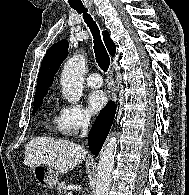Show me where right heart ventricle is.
<instances>
[{"instance_id":"obj_1","label":"right heart ventricle","mask_w":189,"mask_h":195,"mask_svg":"<svg viewBox=\"0 0 189 195\" xmlns=\"http://www.w3.org/2000/svg\"><path fill=\"white\" fill-rule=\"evenodd\" d=\"M54 112H55L54 108H52L51 111L49 112L47 123H46L48 130H51L53 125L57 124L58 117L55 116Z\"/></svg>"}]
</instances>
